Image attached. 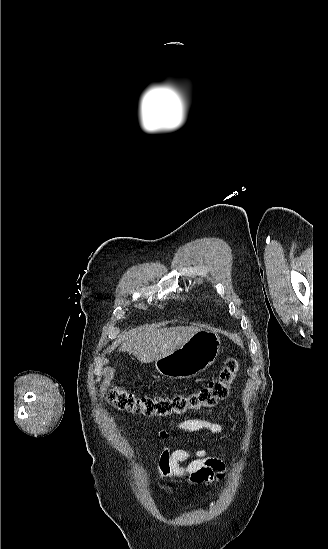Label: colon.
<instances>
[{
	"instance_id": "colon-1",
	"label": "colon",
	"mask_w": 328,
	"mask_h": 549,
	"mask_svg": "<svg viewBox=\"0 0 328 549\" xmlns=\"http://www.w3.org/2000/svg\"><path fill=\"white\" fill-rule=\"evenodd\" d=\"M238 371V360L229 357L219 376L196 392L172 397L136 396L120 387H113L108 393V400L118 409L146 416L183 414L190 410L214 406L218 401L225 399Z\"/></svg>"
}]
</instances>
